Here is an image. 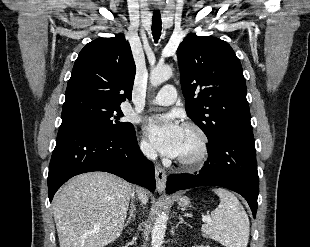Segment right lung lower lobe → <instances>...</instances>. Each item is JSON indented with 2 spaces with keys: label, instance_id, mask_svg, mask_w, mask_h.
<instances>
[{
  "label": "right lung lower lobe",
  "instance_id": "obj_1",
  "mask_svg": "<svg viewBox=\"0 0 310 247\" xmlns=\"http://www.w3.org/2000/svg\"><path fill=\"white\" fill-rule=\"evenodd\" d=\"M91 171L109 172L155 190L154 166L141 153L134 128L120 135L94 127L61 128L49 165L50 202L68 179Z\"/></svg>",
  "mask_w": 310,
  "mask_h": 247
}]
</instances>
